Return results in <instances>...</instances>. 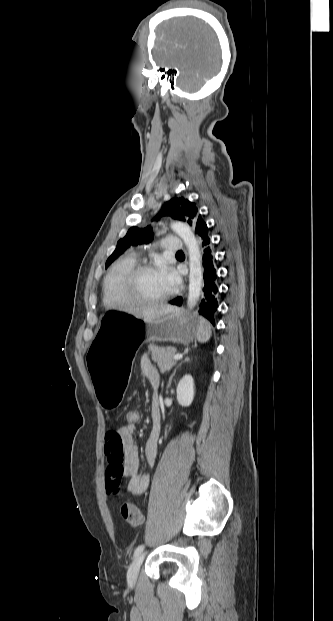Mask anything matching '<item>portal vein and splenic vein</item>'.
I'll return each instance as SVG.
<instances>
[{
  "instance_id": "obj_1",
  "label": "portal vein and splenic vein",
  "mask_w": 333,
  "mask_h": 621,
  "mask_svg": "<svg viewBox=\"0 0 333 621\" xmlns=\"http://www.w3.org/2000/svg\"><path fill=\"white\" fill-rule=\"evenodd\" d=\"M182 357H183V355H182V354H176V355H174V356H173V358H172V359H173V360H179V359H181Z\"/></svg>"
}]
</instances>
